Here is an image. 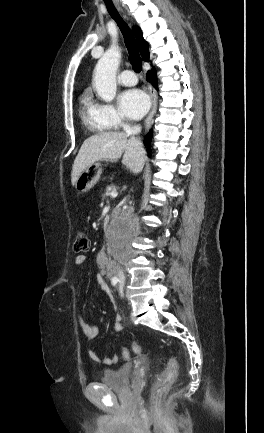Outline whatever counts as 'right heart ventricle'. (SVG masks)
<instances>
[{
	"mask_svg": "<svg viewBox=\"0 0 264 433\" xmlns=\"http://www.w3.org/2000/svg\"><path fill=\"white\" fill-rule=\"evenodd\" d=\"M81 117L85 126L91 132L103 133L109 129V126L99 117L95 103L88 94L81 97Z\"/></svg>",
	"mask_w": 264,
	"mask_h": 433,
	"instance_id": "e07e8e85",
	"label": "right heart ventricle"
}]
</instances>
